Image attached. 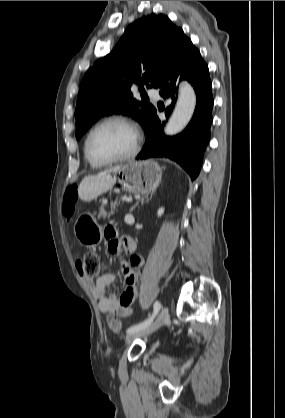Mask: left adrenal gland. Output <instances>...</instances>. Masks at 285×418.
Instances as JSON below:
<instances>
[{"instance_id":"obj_1","label":"left adrenal gland","mask_w":285,"mask_h":418,"mask_svg":"<svg viewBox=\"0 0 285 418\" xmlns=\"http://www.w3.org/2000/svg\"><path fill=\"white\" fill-rule=\"evenodd\" d=\"M150 193L152 195L154 193V190L151 191V192H148L145 196H143L142 198L138 199V201L135 203V205H133L131 207L130 211H133L139 205L140 202H143L144 199L148 198V196H149Z\"/></svg>"}]
</instances>
